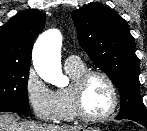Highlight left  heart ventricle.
Instances as JSON below:
<instances>
[{"mask_svg":"<svg viewBox=\"0 0 147 131\" xmlns=\"http://www.w3.org/2000/svg\"><path fill=\"white\" fill-rule=\"evenodd\" d=\"M112 95L106 81L98 76L90 78L83 92V103L87 113L101 115L111 106Z\"/></svg>","mask_w":147,"mask_h":131,"instance_id":"left-heart-ventricle-1","label":"left heart ventricle"}]
</instances>
